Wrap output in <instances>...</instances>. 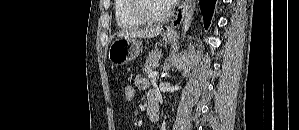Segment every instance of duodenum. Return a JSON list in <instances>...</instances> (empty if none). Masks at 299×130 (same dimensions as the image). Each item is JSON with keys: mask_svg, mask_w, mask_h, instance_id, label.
<instances>
[{"mask_svg": "<svg viewBox=\"0 0 299 130\" xmlns=\"http://www.w3.org/2000/svg\"><path fill=\"white\" fill-rule=\"evenodd\" d=\"M148 116L151 121H156L159 115V103L155 95L150 94L147 101Z\"/></svg>", "mask_w": 299, "mask_h": 130, "instance_id": "410a0bca", "label": "duodenum"}]
</instances>
